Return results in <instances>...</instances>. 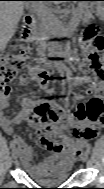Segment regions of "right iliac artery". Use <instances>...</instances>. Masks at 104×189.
I'll return each instance as SVG.
<instances>
[{"label":"right iliac artery","instance_id":"right-iliac-artery-1","mask_svg":"<svg viewBox=\"0 0 104 189\" xmlns=\"http://www.w3.org/2000/svg\"><path fill=\"white\" fill-rule=\"evenodd\" d=\"M11 148H12V149H15V145H14V144H11Z\"/></svg>","mask_w":104,"mask_h":189}]
</instances>
